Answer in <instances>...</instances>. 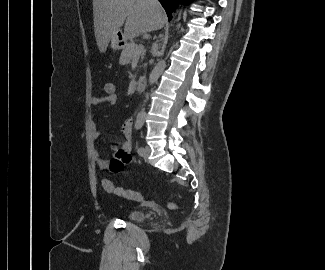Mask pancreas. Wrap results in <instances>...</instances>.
I'll list each match as a JSON object with an SVG mask.
<instances>
[{
  "label": "pancreas",
  "mask_w": 325,
  "mask_h": 270,
  "mask_svg": "<svg viewBox=\"0 0 325 270\" xmlns=\"http://www.w3.org/2000/svg\"><path fill=\"white\" fill-rule=\"evenodd\" d=\"M143 57L144 56V50L140 51L139 50V45L130 42L128 44L125 45L121 56H120V61L119 63L121 65H126L129 64L131 61H136L138 60L139 57Z\"/></svg>",
  "instance_id": "1"
}]
</instances>
